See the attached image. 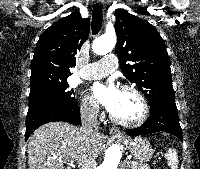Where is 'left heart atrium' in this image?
Masks as SVG:
<instances>
[{
	"label": "left heart atrium",
	"instance_id": "39dd6f15",
	"mask_svg": "<svg viewBox=\"0 0 200 169\" xmlns=\"http://www.w3.org/2000/svg\"><path fill=\"white\" fill-rule=\"evenodd\" d=\"M92 91L94 98L112 113L119 96V90L115 85L112 83H97L93 86Z\"/></svg>",
	"mask_w": 200,
	"mask_h": 169
}]
</instances>
